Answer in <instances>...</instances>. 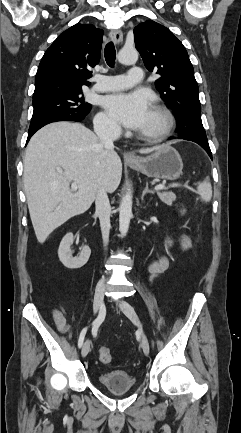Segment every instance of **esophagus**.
I'll list each match as a JSON object with an SVG mask.
<instances>
[{
	"label": "esophagus",
	"instance_id": "obj_1",
	"mask_svg": "<svg viewBox=\"0 0 241 433\" xmlns=\"http://www.w3.org/2000/svg\"><path fill=\"white\" fill-rule=\"evenodd\" d=\"M109 35H110L111 40L114 41L116 44L121 43L123 40L122 32L118 29L111 30ZM125 158L127 160H135L136 159L135 155L130 153V152L125 154Z\"/></svg>",
	"mask_w": 241,
	"mask_h": 433
}]
</instances>
